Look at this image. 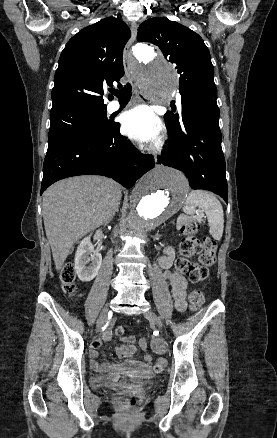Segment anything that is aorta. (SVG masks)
<instances>
[{
    "label": "aorta",
    "mask_w": 277,
    "mask_h": 438,
    "mask_svg": "<svg viewBox=\"0 0 277 438\" xmlns=\"http://www.w3.org/2000/svg\"><path fill=\"white\" fill-rule=\"evenodd\" d=\"M134 56L140 62L135 71L138 86L151 99L163 101L178 87L176 69L153 48L139 44ZM188 191L184 175L158 166L144 175L132 191L130 209L122 222L126 235L148 232L176 214Z\"/></svg>",
    "instance_id": "1"
}]
</instances>
